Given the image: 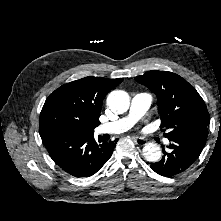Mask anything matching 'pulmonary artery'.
<instances>
[{"label":"pulmonary artery","instance_id":"pulmonary-artery-1","mask_svg":"<svg viewBox=\"0 0 221 221\" xmlns=\"http://www.w3.org/2000/svg\"><path fill=\"white\" fill-rule=\"evenodd\" d=\"M152 103V96L149 93L135 94L130 103V109L126 116L113 122L99 126V133L119 134L129 130L149 109Z\"/></svg>","mask_w":221,"mask_h":221}]
</instances>
